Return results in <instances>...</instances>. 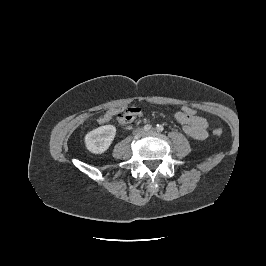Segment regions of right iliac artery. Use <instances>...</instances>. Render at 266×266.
<instances>
[{
	"label": "right iliac artery",
	"mask_w": 266,
	"mask_h": 266,
	"mask_svg": "<svg viewBox=\"0 0 266 266\" xmlns=\"http://www.w3.org/2000/svg\"><path fill=\"white\" fill-rule=\"evenodd\" d=\"M151 128H152V126L150 124H147L144 126L145 131H149V130H151Z\"/></svg>",
	"instance_id": "right-iliac-artery-1"
}]
</instances>
